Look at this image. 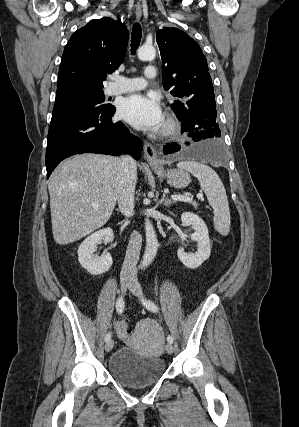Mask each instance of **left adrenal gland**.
Returning <instances> with one entry per match:
<instances>
[{"mask_svg":"<svg viewBox=\"0 0 299 427\" xmlns=\"http://www.w3.org/2000/svg\"><path fill=\"white\" fill-rule=\"evenodd\" d=\"M160 203H161L162 205H164V206H168V205L173 204V203H174V201H171L170 199L165 198V194H163V197H162V199H161Z\"/></svg>","mask_w":299,"mask_h":427,"instance_id":"left-adrenal-gland-1","label":"left adrenal gland"}]
</instances>
